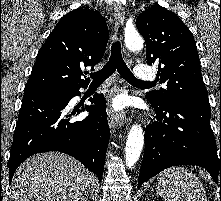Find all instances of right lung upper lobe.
<instances>
[{
    "label": "right lung upper lobe",
    "instance_id": "1",
    "mask_svg": "<svg viewBox=\"0 0 221 201\" xmlns=\"http://www.w3.org/2000/svg\"><path fill=\"white\" fill-rule=\"evenodd\" d=\"M108 38L100 13L78 8L64 15L39 50L25 90L88 85L82 69L100 62Z\"/></svg>",
    "mask_w": 221,
    "mask_h": 201
}]
</instances>
